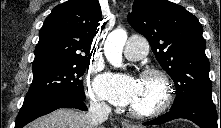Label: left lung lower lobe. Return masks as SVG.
<instances>
[{
	"instance_id": "1",
	"label": "left lung lower lobe",
	"mask_w": 221,
	"mask_h": 128,
	"mask_svg": "<svg viewBox=\"0 0 221 128\" xmlns=\"http://www.w3.org/2000/svg\"><path fill=\"white\" fill-rule=\"evenodd\" d=\"M177 118L189 119L200 128H221V113L219 125V114L213 102L205 100L190 101L154 120L143 123V125L163 124Z\"/></svg>"
}]
</instances>
